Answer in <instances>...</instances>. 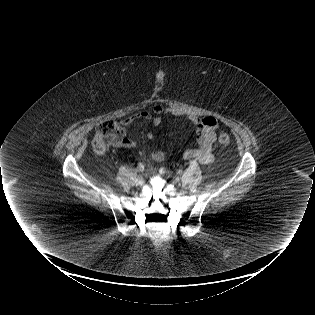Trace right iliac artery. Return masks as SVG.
I'll return each instance as SVG.
<instances>
[{"label":"right iliac artery","mask_w":315,"mask_h":315,"mask_svg":"<svg viewBox=\"0 0 315 315\" xmlns=\"http://www.w3.org/2000/svg\"><path fill=\"white\" fill-rule=\"evenodd\" d=\"M137 168L140 172H142L144 170V165L140 163Z\"/></svg>","instance_id":"right-iliac-artery-1"}]
</instances>
